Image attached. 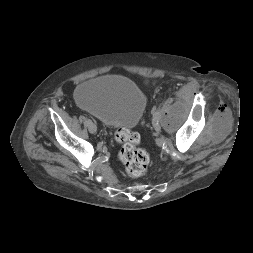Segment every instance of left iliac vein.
<instances>
[{"label": "left iliac vein", "instance_id": "obj_1", "mask_svg": "<svg viewBox=\"0 0 253 253\" xmlns=\"http://www.w3.org/2000/svg\"><path fill=\"white\" fill-rule=\"evenodd\" d=\"M154 129H155L156 132L161 131V125L158 121H154Z\"/></svg>", "mask_w": 253, "mask_h": 253}]
</instances>
